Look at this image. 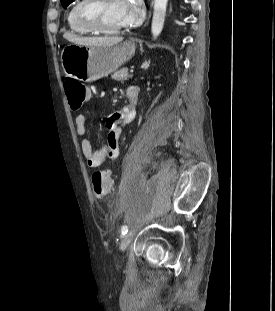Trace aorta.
<instances>
[{"mask_svg":"<svg viewBox=\"0 0 275 311\" xmlns=\"http://www.w3.org/2000/svg\"><path fill=\"white\" fill-rule=\"evenodd\" d=\"M166 7L167 0H154V12L151 26V32L154 38H157L162 32L166 15Z\"/></svg>","mask_w":275,"mask_h":311,"instance_id":"1","label":"aorta"}]
</instances>
